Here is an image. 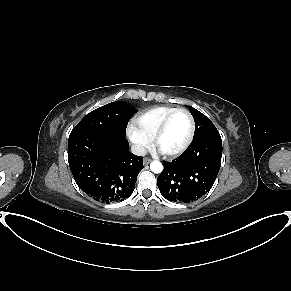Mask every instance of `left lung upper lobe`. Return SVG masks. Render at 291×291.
I'll return each instance as SVG.
<instances>
[{
  "label": "left lung upper lobe",
  "mask_w": 291,
  "mask_h": 291,
  "mask_svg": "<svg viewBox=\"0 0 291 291\" xmlns=\"http://www.w3.org/2000/svg\"><path fill=\"white\" fill-rule=\"evenodd\" d=\"M186 107L189 109L195 121V133L193 140L200 139L213 133H218V130L207 116L191 106Z\"/></svg>",
  "instance_id": "obj_1"
}]
</instances>
